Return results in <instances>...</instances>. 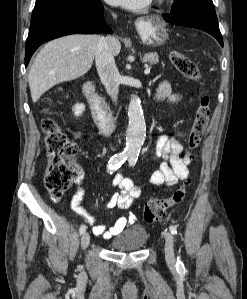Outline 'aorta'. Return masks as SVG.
<instances>
[{"label": "aorta", "instance_id": "obj_1", "mask_svg": "<svg viewBox=\"0 0 247 299\" xmlns=\"http://www.w3.org/2000/svg\"><path fill=\"white\" fill-rule=\"evenodd\" d=\"M129 123L126 130L125 152L130 156H137L143 145L146 134V123L143 115L141 101L132 96L128 106Z\"/></svg>", "mask_w": 247, "mask_h": 299}]
</instances>
